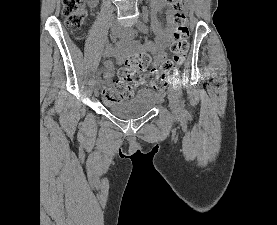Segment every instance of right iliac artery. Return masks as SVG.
I'll list each match as a JSON object with an SVG mask.
<instances>
[{
  "instance_id": "82829eb1",
  "label": "right iliac artery",
  "mask_w": 277,
  "mask_h": 225,
  "mask_svg": "<svg viewBox=\"0 0 277 225\" xmlns=\"http://www.w3.org/2000/svg\"><path fill=\"white\" fill-rule=\"evenodd\" d=\"M131 39L132 38L130 36H123L119 39V41L117 42V45H124V44L128 43ZM98 83H99V78H98V76H96L93 79L92 84L97 85Z\"/></svg>"
}]
</instances>
